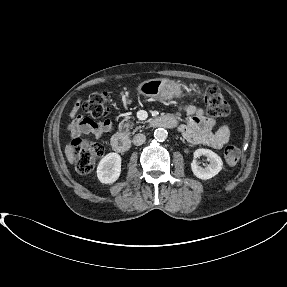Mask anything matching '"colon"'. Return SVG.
<instances>
[{
	"label": "colon",
	"instance_id": "colon-1",
	"mask_svg": "<svg viewBox=\"0 0 287 287\" xmlns=\"http://www.w3.org/2000/svg\"><path fill=\"white\" fill-rule=\"evenodd\" d=\"M204 102L207 114L212 117H224L230 112V106L222 95L220 89L216 86H209L204 95ZM82 110L92 118H102L109 111V95L107 92H96L91 94L80 104ZM76 169L81 174L91 172L99 159L104 153L101 144L93 141L75 137L71 141ZM241 156L239 147L228 145L224 149L225 161L230 165H235Z\"/></svg>",
	"mask_w": 287,
	"mask_h": 287
}]
</instances>
